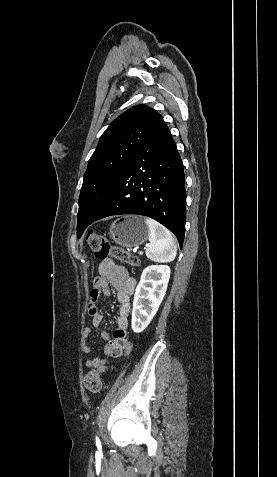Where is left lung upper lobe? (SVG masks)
<instances>
[{"label": "left lung upper lobe", "instance_id": "obj_1", "mask_svg": "<svg viewBox=\"0 0 277 477\" xmlns=\"http://www.w3.org/2000/svg\"><path fill=\"white\" fill-rule=\"evenodd\" d=\"M166 126L162 116L145 105L133 106L109 125L83 177L77 234L94 216L125 164Z\"/></svg>", "mask_w": 277, "mask_h": 477}]
</instances>
